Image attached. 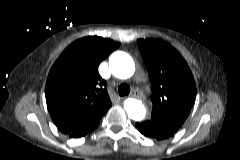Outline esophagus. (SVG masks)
Wrapping results in <instances>:
<instances>
[{
	"mask_svg": "<svg viewBox=\"0 0 240 160\" xmlns=\"http://www.w3.org/2000/svg\"><path fill=\"white\" fill-rule=\"evenodd\" d=\"M131 97L133 98H139V91L138 90H134L131 94H130Z\"/></svg>",
	"mask_w": 240,
	"mask_h": 160,
	"instance_id": "34e87169",
	"label": "esophagus"
}]
</instances>
